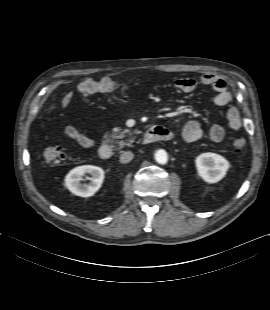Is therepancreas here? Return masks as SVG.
<instances>
[{"label": "pancreas", "mask_w": 270, "mask_h": 310, "mask_svg": "<svg viewBox=\"0 0 270 310\" xmlns=\"http://www.w3.org/2000/svg\"><path fill=\"white\" fill-rule=\"evenodd\" d=\"M134 132L130 131L129 129H125L121 131V129H117L116 133H111V134H105L104 138L106 139L107 142H112L114 139H122L125 136L129 135L131 136ZM134 142V139H129V140H121L118 142L119 148H122L124 146H130V143Z\"/></svg>", "instance_id": "pancreas-1"}]
</instances>
